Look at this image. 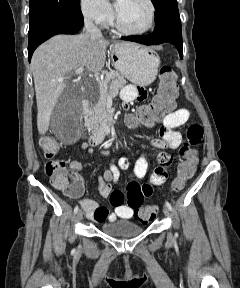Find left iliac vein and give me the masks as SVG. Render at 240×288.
I'll list each match as a JSON object with an SVG mask.
<instances>
[{"mask_svg": "<svg viewBox=\"0 0 240 288\" xmlns=\"http://www.w3.org/2000/svg\"><path fill=\"white\" fill-rule=\"evenodd\" d=\"M163 213H164V215H165L166 217H169V215H170V210L168 209L167 206H163ZM168 239H169V240H172V239H173V235H172L171 232H168Z\"/></svg>", "mask_w": 240, "mask_h": 288, "instance_id": "1", "label": "left iliac vein"}]
</instances>
